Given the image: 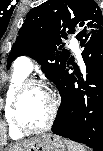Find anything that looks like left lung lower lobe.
Wrapping results in <instances>:
<instances>
[{"mask_svg": "<svg viewBox=\"0 0 103 151\" xmlns=\"http://www.w3.org/2000/svg\"><path fill=\"white\" fill-rule=\"evenodd\" d=\"M77 39L84 47L86 80L80 76L77 67L78 80L73 73H68L72 64L69 59L54 80L62 102L52 131L86 144L94 151H103V29H88Z\"/></svg>", "mask_w": 103, "mask_h": 151, "instance_id": "0a47b994", "label": "left lung lower lobe"}]
</instances>
